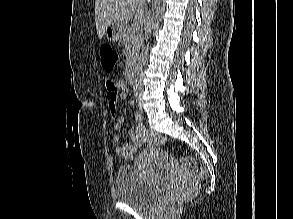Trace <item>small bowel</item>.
Instances as JSON below:
<instances>
[{
  "label": "small bowel",
  "instance_id": "1",
  "mask_svg": "<svg viewBox=\"0 0 293 219\" xmlns=\"http://www.w3.org/2000/svg\"><path fill=\"white\" fill-rule=\"evenodd\" d=\"M107 100L109 109L113 115V127L115 130H120L125 123L122 116L116 115V106L118 98L125 99L128 95V90L123 81H107ZM131 141L129 143L119 145V137H113L115 143V152L123 159H132L137 149L146 141L148 135L145 127L142 124H137L129 129Z\"/></svg>",
  "mask_w": 293,
  "mask_h": 219
}]
</instances>
